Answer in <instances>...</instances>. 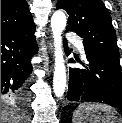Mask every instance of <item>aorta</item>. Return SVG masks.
I'll return each instance as SVG.
<instances>
[{"label":"aorta","instance_id":"1","mask_svg":"<svg viewBox=\"0 0 122 123\" xmlns=\"http://www.w3.org/2000/svg\"><path fill=\"white\" fill-rule=\"evenodd\" d=\"M66 15L62 11H56L51 17L55 48V70L53 77V90L56 97L63 96L66 87V68L62 50V32L66 27Z\"/></svg>","mask_w":122,"mask_h":123}]
</instances>
